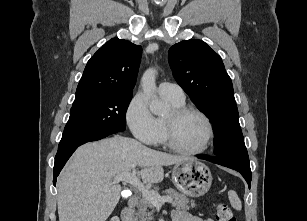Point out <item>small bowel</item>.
I'll return each instance as SVG.
<instances>
[{"label":"small bowel","mask_w":307,"mask_h":221,"mask_svg":"<svg viewBox=\"0 0 307 221\" xmlns=\"http://www.w3.org/2000/svg\"><path fill=\"white\" fill-rule=\"evenodd\" d=\"M173 221H213L212 219H206L200 216L193 215L184 209H175L172 212ZM111 221H118L116 218H112Z\"/></svg>","instance_id":"1"}]
</instances>
